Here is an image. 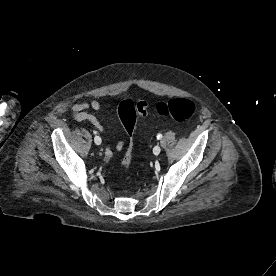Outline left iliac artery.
Here are the masks:
<instances>
[{"label": "left iliac artery", "mask_w": 276, "mask_h": 276, "mask_svg": "<svg viewBox=\"0 0 276 276\" xmlns=\"http://www.w3.org/2000/svg\"><path fill=\"white\" fill-rule=\"evenodd\" d=\"M162 138V134L157 135V139L160 140Z\"/></svg>", "instance_id": "44dca946"}]
</instances>
